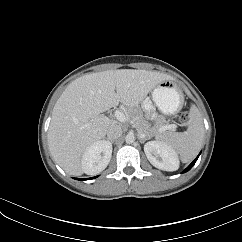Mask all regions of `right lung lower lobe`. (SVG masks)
Returning a JSON list of instances; mask_svg holds the SVG:
<instances>
[{
	"instance_id": "right-lung-lower-lobe-1",
	"label": "right lung lower lobe",
	"mask_w": 242,
	"mask_h": 242,
	"mask_svg": "<svg viewBox=\"0 0 242 242\" xmlns=\"http://www.w3.org/2000/svg\"><path fill=\"white\" fill-rule=\"evenodd\" d=\"M95 178V177H94ZM77 180H84V179H80V178H76ZM89 179H92V178H89Z\"/></svg>"
}]
</instances>
